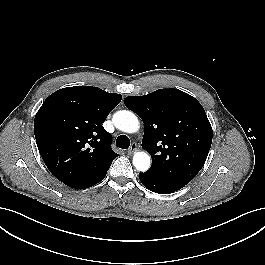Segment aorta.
Wrapping results in <instances>:
<instances>
[{
  "label": "aorta",
  "mask_w": 265,
  "mask_h": 265,
  "mask_svg": "<svg viewBox=\"0 0 265 265\" xmlns=\"http://www.w3.org/2000/svg\"><path fill=\"white\" fill-rule=\"evenodd\" d=\"M113 123L117 129L126 133H135L140 127L137 116L133 112L127 110L117 111L113 115ZM150 164V156L147 152L141 151L134 154L133 165L138 171H147Z\"/></svg>",
  "instance_id": "aorta-1"
}]
</instances>
